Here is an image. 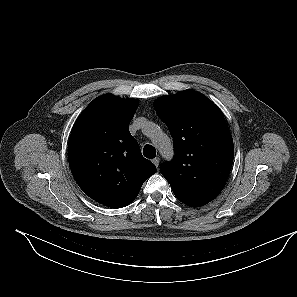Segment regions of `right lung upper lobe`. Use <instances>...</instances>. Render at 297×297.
Listing matches in <instances>:
<instances>
[{
    "label": "right lung upper lobe",
    "mask_w": 297,
    "mask_h": 297,
    "mask_svg": "<svg viewBox=\"0 0 297 297\" xmlns=\"http://www.w3.org/2000/svg\"><path fill=\"white\" fill-rule=\"evenodd\" d=\"M136 108L134 99L99 96L71 131L68 159L77 184L87 196L111 208L129 205L156 171L129 132Z\"/></svg>",
    "instance_id": "obj_1"
}]
</instances>
